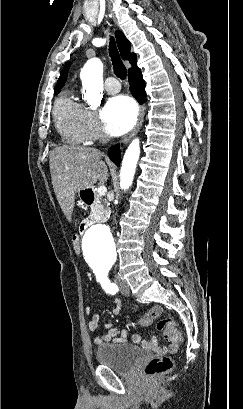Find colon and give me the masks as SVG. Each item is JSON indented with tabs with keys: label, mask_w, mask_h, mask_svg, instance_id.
I'll list each match as a JSON object with an SVG mask.
<instances>
[{
	"label": "colon",
	"mask_w": 243,
	"mask_h": 409,
	"mask_svg": "<svg viewBox=\"0 0 243 409\" xmlns=\"http://www.w3.org/2000/svg\"><path fill=\"white\" fill-rule=\"evenodd\" d=\"M73 250L75 253L80 252L79 237L74 235L72 238ZM157 322V329L162 331L165 337L175 335L179 342L182 340V333L171 316L160 306L151 308L140 320V325H149L155 319L162 316ZM174 367V360L170 356H159L149 361L145 367V374L148 378H154L170 372Z\"/></svg>",
	"instance_id": "colon-1"
}]
</instances>
